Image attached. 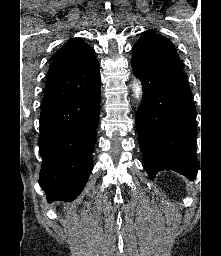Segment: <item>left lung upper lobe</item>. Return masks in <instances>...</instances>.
<instances>
[{
	"mask_svg": "<svg viewBox=\"0 0 221 256\" xmlns=\"http://www.w3.org/2000/svg\"><path fill=\"white\" fill-rule=\"evenodd\" d=\"M132 68L142 75L184 76L173 44L151 31L143 32L133 46Z\"/></svg>",
	"mask_w": 221,
	"mask_h": 256,
	"instance_id": "obj_1",
	"label": "left lung upper lobe"
}]
</instances>
